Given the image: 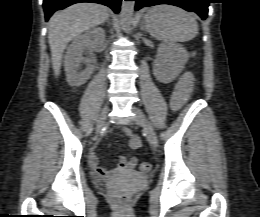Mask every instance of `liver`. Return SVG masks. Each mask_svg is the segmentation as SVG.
I'll return each mask as SVG.
<instances>
[{"label": "liver", "mask_w": 260, "mask_h": 217, "mask_svg": "<svg viewBox=\"0 0 260 217\" xmlns=\"http://www.w3.org/2000/svg\"><path fill=\"white\" fill-rule=\"evenodd\" d=\"M107 9L95 3H77L56 12L49 20L48 40L54 74H60L63 52L77 35L107 20Z\"/></svg>", "instance_id": "liver-1"}]
</instances>
